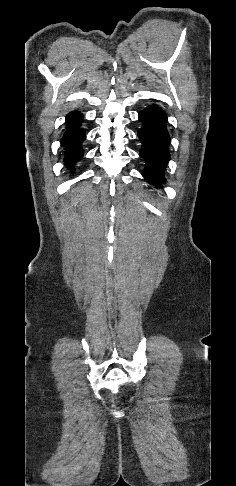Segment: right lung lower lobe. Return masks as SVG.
<instances>
[{
    "mask_svg": "<svg viewBox=\"0 0 236 486\" xmlns=\"http://www.w3.org/2000/svg\"><path fill=\"white\" fill-rule=\"evenodd\" d=\"M83 115L79 111H71L65 118V132L61 139L64 148V163L66 168L73 170L74 165L83 156L82 143L85 140V131L81 128Z\"/></svg>",
    "mask_w": 236,
    "mask_h": 486,
    "instance_id": "98d812e1",
    "label": "right lung lower lobe"
}]
</instances>
